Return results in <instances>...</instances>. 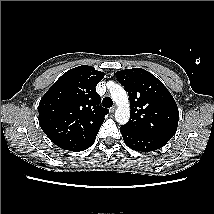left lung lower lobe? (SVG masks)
I'll return each instance as SVG.
<instances>
[{"mask_svg": "<svg viewBox=\"0 0 214 214\" xmlns=\"http://www.w3.org/2000/svg\"><path fill=\"white\" fill-rule=\"evenodd\" d=\"M120 132L125 144L135 151H154L163 147L168 142L164 139L128 130L123 126L120 127Z\"/></svg>", "mask_w": 214, "mask_h": 214, "instance_id": "0a47b994", "label": "left lung lower lobe"}]
</instances>
